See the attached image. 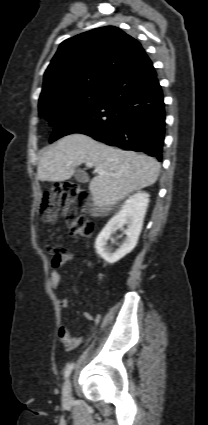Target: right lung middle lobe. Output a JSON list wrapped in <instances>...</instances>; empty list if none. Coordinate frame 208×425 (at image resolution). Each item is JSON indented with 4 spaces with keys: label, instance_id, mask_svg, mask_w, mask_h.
I'll return each instance as SVG.
<instances>
[{
    "label": "right lung middle lobe",
    "instance_id": "dd1d6c3e",
    "mask_svg": "<svg viewBox=\"0 0 208 425\" xmlns=\"http://www.w3.org/2000/svg\"><path fill=\"white\" fill-rule=\"evenodd\" d=\"M106 89H84L66 95L39 102L40 116L56 125L67 115L78 113L99 102Z\"/></svg>",
    "mask_w": 208,
    "mask_h": 425
}]
</instances>
